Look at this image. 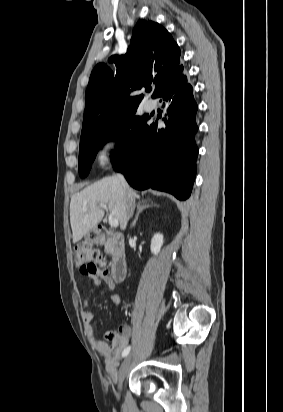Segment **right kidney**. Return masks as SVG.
<instances>
[{
    "label": "right kidney",
    "mask_w": 283,
    "mask_h": 412,
    "mask_svg": "<svg viewBox=\"0 0 283 412\" xmlns=\"http://www.w3.org/2000/svg\"><path fill=\"white\" fill-rule=\"evenodd\" d=\"M163 245V235L156 233L151 240V251L154 255H158Z\"/></svg>",
    "instance_id": "ca27d5eb"
}]
</instances>
